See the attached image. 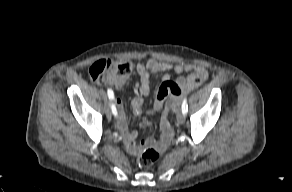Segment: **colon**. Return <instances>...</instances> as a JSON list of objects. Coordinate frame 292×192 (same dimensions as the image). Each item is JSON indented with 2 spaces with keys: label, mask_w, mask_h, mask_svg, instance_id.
Returning a JSON list of instances; mask_svg holds the SVG:
<instances>
[{
  "label": "colon",
  "mask_w": 292,
  "mask_h": 192,
  "mask_svg": "<svg viewBox=\"0 0 292 192\" xmlns=\"http://www.w3.org/2000/svg\"><path fill=\"white\" fill-rule=\"evenodd\" d=\"M88 72L94 82L121 89L127 85L130 79L132 66L129 62H116L110 59H101L94 62L90 66ZM159 156V147H148L137 158V164L141 168L150 167L158 160Z\"/></svg>",
  "instance_id": "1"
}]
</instances>
